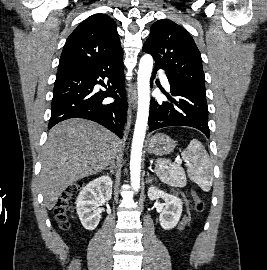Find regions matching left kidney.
<instances>
[{
	"label": "left kidney",
	"instance_id": "1",
	"mask_svg": "<svg viewBox=\"0 0 267 270\" xmlns=\"http://www.w3.org/2000/svg\"><path fill=\"white\" fill-rule=\"evenodd\" d=\"M148 197L150 200H157L162 198L165 201L164 209L160 213L159 221L164 230L174 228L182 214V201L180 198L165 193L155 186L148 189Z\"/></svg>",
	"mask_w": 267,
	"mask_h": 270
}]
</instances>
